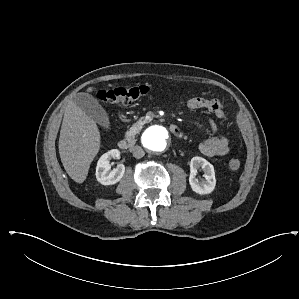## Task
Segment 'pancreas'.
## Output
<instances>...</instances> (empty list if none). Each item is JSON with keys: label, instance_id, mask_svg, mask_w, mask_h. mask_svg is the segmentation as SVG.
Wrapping results in <instances>:
<instances>
[{"label": "pancreas", "instance_id": "pancreas-1", "mask_svg": "<svg viewBox=\"0 0 299 299\" xmlns=\"http://www.w3.org/2000/svg\"><path fill=\"white\" fill-rule=\"evenodd\" d=\"M148 121L146 119L143 120H139L136 123H134L130 129L126 132V136L127 137H133L135 136L143 127V125L145 123H147Z\"/></svg>", "mask_w": 299, "mask_h": 299}]
</instances>
